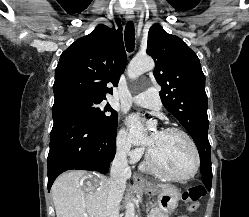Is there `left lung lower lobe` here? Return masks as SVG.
<instances>
[{"label": "left lung lower lobe", "instance_id": "left-lung-lower-lobe-1", "mask_svg": "<svg viewBox=\"0 0 249 217\" xmlns=\"http://www.w3.org/2000/svg\"><path fill=\"white\" fill-rule=\"evenodd\" d=\"M201 177L203 183L205 184L207 190H211V182H212V169L211 171H203L201 172Z\"/></svg>", "mask_w": 249, "mask_h": 217}]
</instances>
